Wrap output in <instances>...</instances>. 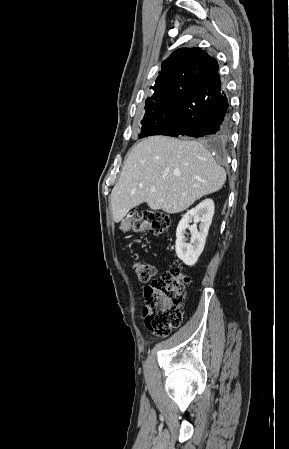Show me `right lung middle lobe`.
Masks as SVG:
<instances>
[{
  "mask_svg": "<svg viewBox=\"0 0 289 449\" xmlns=\"http://www.w3.org/2000/svg\"><path fill=\"white\" fill-rule=\"evenodd\" d=\"M145 104L146 113L142 120L140 138L153 135L161 124L170 122L176 117L173 97L168 92L148 97Z\"/></svg>",
  "mask_w": 289,
  "mask_h": 449,
  "instance_id": "1",
  "label": "right lung middle lobe"
}]
</instances>
